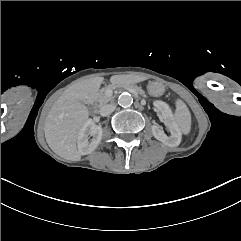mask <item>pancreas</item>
<instances>
[{
	"instance_id": "obj_1",
	"label": "pancreas",
	"mask_w": 241,
	"mask_h": 241,
	"mask_svg": "<svg viewBox=\"0 0 241 241\" xmlns=\"http://www.w3.org/2000/svg\"><path fill=\"white\" fill-rule=\"evenodd\" d=\"M106 88H103L100 90L99 97H98V102L100 105L108 103L110 100H112V97H107L105 94Z\"/></svg>"
}]
</instances>
